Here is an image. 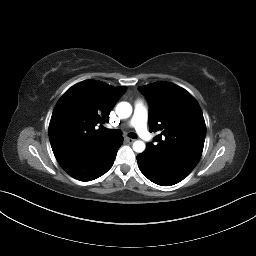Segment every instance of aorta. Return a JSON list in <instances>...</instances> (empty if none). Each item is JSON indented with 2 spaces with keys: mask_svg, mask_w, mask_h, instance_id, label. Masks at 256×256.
<instances>
[{
  "mask_svg": "<svg viewBox=\"0 0 256 256\" xmlns=\"http://www.w3.org/2000/svg\"><path fill=\"white\" fill-rule=\"evenodd\" d=\"M115 111L121 119H125L131 116L132 106L128 102H120L117 104ZM145 148L146 145L141 140H137L133 143V150L137 153H142Z\"/></svg>",
  "mask_w": 256,
  "mask_h": 256,
  "instance_id": "762f6f07",
  "label": "aorta"
}]
</instances>
